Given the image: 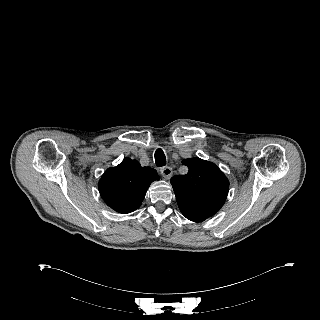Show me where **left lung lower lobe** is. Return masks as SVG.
Wrapping results in <instances>:
<instances>
[{"label": "left lung lower lobe", "mask_w": 320, "mask_h": 320, "mask_svg": "<svg viewBox=\"0 0 320 320\" xmlns=\"http://www.w3.org/2000/svg\"><path fill=\"white\" fill-rule=\"evenodd\" d=\"M182 214H183L187 219H189V220H191V221H193V222H202V221H204L203 219L196 218V217L191 216V215H189V214H187V213H184V212H182Z\"/></svg>", "instance_id": "0a47b994"}]
</instances>
